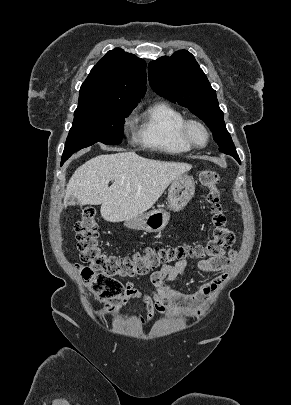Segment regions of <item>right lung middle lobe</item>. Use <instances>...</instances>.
<instances>
[{
	"label": "right lung middle lobe",
	"mask_w": 291,
	"mask_h": 405,
	"mask_svg": "<svg viewBox=\"0 0 291 405\" xmlns=\"http://www.w3.org/2000/svg\"><path fill=\"white\" fill-rule=\"evenodd\" d=\"M134 108L110 104L78 107L74 112L73 125L66 140L61 163L74 152L96 142L120 144L124 132V118Z\"/></svg>",
	"instance_id": "1"
}]
</instances>
